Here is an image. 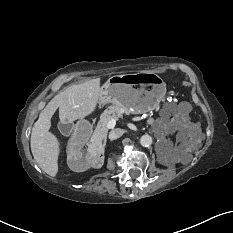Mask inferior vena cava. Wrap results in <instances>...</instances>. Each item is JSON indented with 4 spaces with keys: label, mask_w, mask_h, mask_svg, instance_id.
I'll return each instance as SVG.
<instances>
[{
    "label": "inferior vena cava",
    "mask_w": 233,
    "mask_h": 233,
    "mask_svg": "<svg viewBox=\"0 0 233 233\" xmlns=\"http://www.w3.org/2000/svg\"><path fill=\"white\" fill-rule=\"evenodd\" d=\"M122 134H123V131L121 129H115L109 133L108 137L110 140H115V139L120 138Z\"/></svg>",
    "instance_id": "602c4592"
}]
</instances>
